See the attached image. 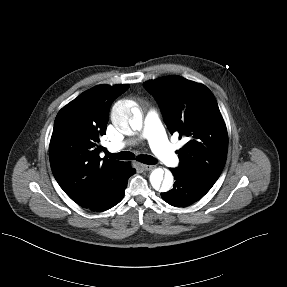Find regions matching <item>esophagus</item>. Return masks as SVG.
Instances as JSON below:
<instances>
[{
    "label": "esophagus",
    "mask_w": 287,
    "mask_h": 287,
    "mask_svg": "<svg viewBox=\"0 0 287 287\" xmlns=\"http://www.w3.org/2000/svg\"><path fill=\"white\" fill-rule=\"evenodd\" d=\"M143 169L146 171H151L153 169H155V165H142Z\"/></svg>",
    "instance_id": "1"
}]
</instances>
